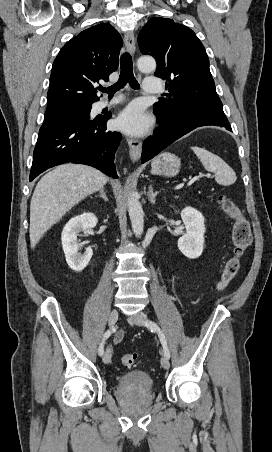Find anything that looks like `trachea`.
I'll use <instances>...</instances> for the list:
<instances>
[{
	"label": "trachea",
	"mask_w": 272,
	"mask_h": 452,
	"mask_svg": "<svg viewBox=\"0 0 272 452\" xmlns=\"http://www.w3.org/2000/svg\"><path fill=\"white\" fill-rule=\"evenodd\" d=\"M121 72L118 81L108 88H100L103 93H108L109 97H112L115 92L122 89L127 83L133 89H139V84L133 74V63L132 57L129 53L125 52L120 58Z\"/></svg>",
	"instance_id": "3493384b"
}]
</instances>
